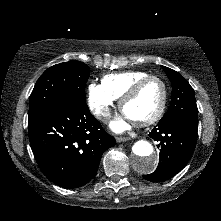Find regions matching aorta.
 <instances>
[{"label": "aorta", "mask_w": 221, "mask_h": 221, "mask_svg": "<svg viewBox=\"0 0 221 221\" xmlns=\"http://www.w3.org/2000/svg\"><path fill=\"white\" fill-rule=\"evenodd\" d=\"M132 165L139 172L148 174L156 169L158 156L150 142L138 140L132 146Z\"/></svg>", "instance_id": "762f6f07"}]
</instances>
